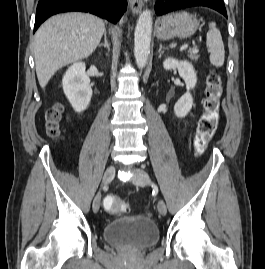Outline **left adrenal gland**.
Segmentation results:
<instances>
[{
  "instance_id": "left-adrenal-gland-1",
  "label": "left adrenal gland",
  "mask_w": 265,
  "mask_h": 269,
  "mask_svg": "<svg viewBox=\"0 0 265 269\" xmlns=\"http://www.w3.org/2000/svg\"><path fill=\"white\" fill-rule=\"evenodd\" d=\"M163 49H165V48L162 46V44H160L159 45V51H158L160 55L163 53L162 52Z\"/></svg>"
}]
</instances>
